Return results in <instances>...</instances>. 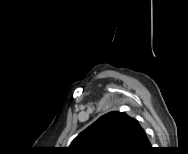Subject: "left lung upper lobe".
<instances>
[{
  "mask_svg": "<svg viewBox=\"0 0 188 154\" xmlns=\"http://www.w3.org/2000/svg\"><path fill=\"white\" fill-rule=\"evenodd\" d=\"M135 124L136 120L124 112H110L82 131L70 149L79 154L129 153Z\"/></svg>",
  "mask_w": 188,
  "mask_h": 154,
  "instance_id": "obj_1",
  "label": "left lung upper lobe"
}]
</instances>
